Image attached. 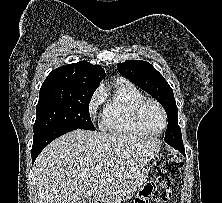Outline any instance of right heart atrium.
Instances as JSON below:
<instances>
[{
	"label": "right heart atrium",
	"instance_id": "right-heart-atrium-1",
	"mask_svg": "<svg viewBox=\"0 0 222 203\" xmlns=\"http://www.w3.org/2000/svg\"><path fill=\"white\" fill-rule=\"evenodd\" d=\"M104 98H105V95H104V90L103 89H98L94 93L93 97L91 98L90 105H89L90 113L93 116L96 115L98 107L103 102Z\"/></svg>",
	"mask_w": 222,
	"mask_h": 203
}]
</instances>
